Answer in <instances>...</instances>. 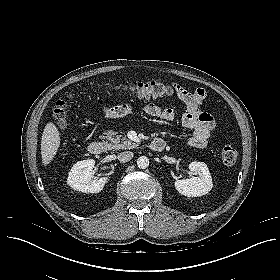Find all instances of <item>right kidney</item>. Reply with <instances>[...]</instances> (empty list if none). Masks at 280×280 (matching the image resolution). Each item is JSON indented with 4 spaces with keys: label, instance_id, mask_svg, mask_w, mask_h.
<instances>
[{
    "label": "right kidney",
    "instance_id": "ca27d5eb",
    "mask_svg": "<svg viewBox=\"0 0 280 280\" xmlns=\"http://www.w3.org/2000/svg\"><path fill=\"white\" fill-rule=\"evenodd\" d=\"M94 165L93 159L75 163L69 172L67 184L74 190L84 193H99L109 179L108 177L92 179Z\"/></svg>",
    "mask_w": 280,
    "mask_h": 280
}]
</instances>
